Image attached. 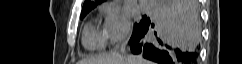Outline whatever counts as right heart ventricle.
Here are the masks:
<instances>
[{
	"instance_id": "obj_1",
	"label": "right heart ventricle",
	"mask_w": 242,
	"mask_h": 64,
	"mask_svg": "<svg viewBox=\"0 0 242 64\" xmlns=\"http://www.w3.org/2000/svg\"><path fill=\"white\" fill-rule=\"evenodd\" d=\"M82 43L87 50H102L105 46V39L103 33L94 24L89 23L83 30Z\"/></svg>"
}]
</instances>
